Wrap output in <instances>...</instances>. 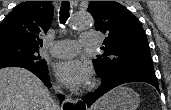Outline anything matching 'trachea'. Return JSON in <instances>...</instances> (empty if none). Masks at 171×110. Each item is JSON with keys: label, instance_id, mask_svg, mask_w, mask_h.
I'll list each match as a JSON object with an SVG mask.
<instances>
[{"label": "trachea", "instance_id": "obj_1", "mask_svg": "<svg viewBox=\"0 0 171 110\" xmlns=\"http://www.w3.org/2000/svg\"><path fill=\"white\" fill-rule=\"evenodd\" d=\"M70 2L69 1H63L61 3V7H60V23L61 24H65V22L67 21V19L70 16Z\"/></svg>", "mask_w": 171, "mask_h": 110}]
</instances>
